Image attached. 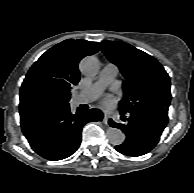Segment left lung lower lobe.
Returning a JSON list of instances; mask_svg holds the SVG:
<instances>
[{"mask_svg": "<svg viewBox=\"0 0 194 193\" xmlns=\"http://www.w3.org/2000/svg\"><path fill=\"white\" fill-rule=\"evenodd\" d=\"M126 124H119L112 119L109 124L121 129L125 135V141L116 146V150L128 156H141L151 151L158 141L168 122V111H129L120 110ZM126 114L128 118L124 116Z\"/></svg>", "mask_w": 194, "mask_h": 193, "instance_id": "1", "label": "left lung lower lobe"}]
</instances>
